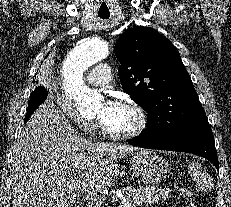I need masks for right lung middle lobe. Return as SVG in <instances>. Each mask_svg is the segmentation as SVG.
<instances>
[{
  "instance_id": "1",
  "label": "right lung middle lobe",
  "mask_w": 231,
  "mask_h": 207,
  "mask_svg": "<svg viewBox=\"0 0 231 207\" xmlns=\"http://www.w3.org/2000/svg\"><path fill=\"white\" fill-rule=\"evenodd\" d=\"M45 89L44 87L36 88L30 95V100L35 99L37 96H41L42 93H44Z\"/></svg>"
}]
</instances>
